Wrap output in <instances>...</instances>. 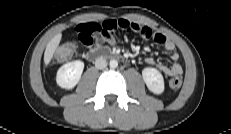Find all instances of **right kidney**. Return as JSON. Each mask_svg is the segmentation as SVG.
I'll use <instances>...</instances> for the list:
<instances>
[{
	"mask_svg": "<svg viewBox=\"0 0 231 134\" xmlns=\"http://www.w3.org/2000/svg\"><path fill=\"white\" fill-rule=\"evenodd\" d=\"M84 69V63L80 60L68 62L57 71L56 82L64 89H72L79 82Z\"/></svg>",
	"mask_w": 231,
	"mask_h": 134,
	"instance_id": "obj_1",
	"label": "right kidney"
}]
</instances>
